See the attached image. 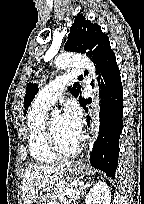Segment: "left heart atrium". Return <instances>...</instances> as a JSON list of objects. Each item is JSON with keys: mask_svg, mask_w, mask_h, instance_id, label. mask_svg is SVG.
<instances>
[{"mask_svg": "<svg viewBox=\"0 0 144 204\" xmlns=\"http://www.w3.org/2000/svg\"><path fill=\"white\" fill-rule=\"evenodd\" d=\"M62 117L70 135L78 139L83 127V116L79 104L75 100H68L64 105Z\"/></svg>", "mask_w": 144, "mask_h": 204, "instance_id": "obj_1", "label": "left heart atrium"}]
</instances>
